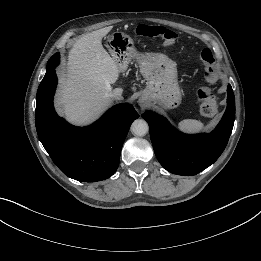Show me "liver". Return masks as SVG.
Listing matches in <instances>:
<instances>
[{
  "mask_svg": "<svg viewBox=\"0 0 261 261\" xmlns=\"http://www.w3.org/2000/svg\"><path fill=\"white\" fill-rule=\"evenodd\" d=\"M106 33V29H100L83 36L69 52L57 106L73 124L94 121L111 105L109 93L123 92L111 86L119 78V66L102 46Z\"/></svg>",
  "mask_w": 261,
  "mask_h": 261,
  "instance_id": "obj_1",
  "label": "liver"
}]
</instances>
